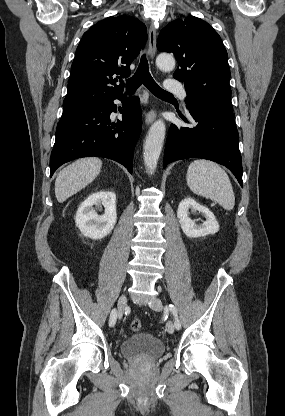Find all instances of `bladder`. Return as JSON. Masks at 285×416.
I'll return each instance as SVG.
<instances>
[{
    "mask_svg": "<svg viewBox=\"0 0 285 416\" xmlns=\"http://www.w3.org/2000/svg\"><path fill=\"white\" fill-rule=\"evenodd\" d=\"M119 350L123 358L146 357L145 361L162 357L165 344L150 333H134L126 337L120 344Z\"/></svg>",
    "mask_w": 285,
    "mask_h": 416,
    "instance_id": "1",
    "label": "bladder"
}]
</instances>
